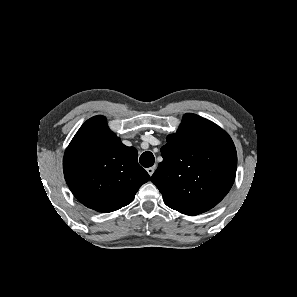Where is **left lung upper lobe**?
Returning a JSON list of instances; mask_svg holds the SVG:
<instances>
[{
    "instance_id": "5c2ea615",
    "label": "left lung upper lobe",
    "mask_w": 297,
    "mask_h": 297,
    "mask_svg": "<svg viewBox=\"0 0 297 297\" xmlns=\"http://www.w3.org/2000/svg\"><path fill=\"white\" fill-rule=\"evenodd\" d=\"M163 161L151 177L165 204L185 215L217 205L231 189L237 154L230 136L218 125L187 113L161 148Z\"/></svg>"
}]
</instances>
